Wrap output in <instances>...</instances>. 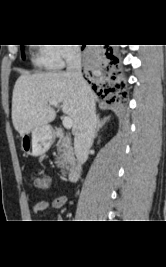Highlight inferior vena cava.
Returning <instances> with one entry per match:
<instances>
[{
    "mask_svg": "<svg viewBox=\"0 0 166 267\" xmlns=\"http://www.w3.org/2000/svg\"><path fill=\"white\" fill-rule=\"evenodd\" d=\"M66 74L82 93L80 121L75 132L74 149L77 160L82 164L88 158L96 132L95 103L90 86L81 73V54L78 47L71 48L66 55Z\"/></svg>",
    "mask_w": 166,
    "mask_h": 267,
    "instance_id": "inferior-vena-cava-1",
    "label": "inferior vena cava"
}]
</instances>
